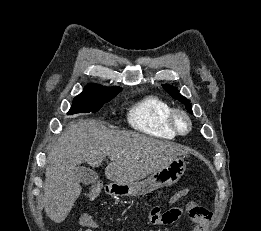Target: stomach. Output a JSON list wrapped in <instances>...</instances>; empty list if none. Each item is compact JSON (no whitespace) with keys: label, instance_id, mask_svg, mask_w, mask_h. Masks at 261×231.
<instances>
[{"label":"stomach","instance_id":"0dacf381","mask_svg":"<svg viewBox=\"0 0 261 231\" xmlns=\"http://www.w3.org/2000/svg\"><path fill=\"white\" fill-rule=\"evenodd\" d=\"M186 162L183 157L171 160L166 166L155 171L142 181L127 184L113 183L109 191L116 196H140L175 184L184 174Z\"/></svg>","mask_w":261,"mask_h":231}]
</instances>
